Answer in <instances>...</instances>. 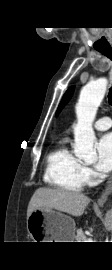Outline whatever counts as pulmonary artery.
<instances>
[{"mask_svg": "<svg viewBox=\"0 0 112 270\" xmlns=\"http://www.w3.org/2000/svg\"><path fill=\"white\" fill-rule=\"evenodd\" d=\"M112 126V120L109 117H102L95 121L94 127L97 130H107Z\"/></svg>", "mask_w": 112, "mask_h": 270, "instance_id": "e3ab8cb5", "label": "pulmonary artery"}]
</instances>
